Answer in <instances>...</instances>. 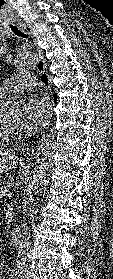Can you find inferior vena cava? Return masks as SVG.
I'll return each mask as SVG.
<instances>
[{"instance_id": "inferior-vena-cava-1", "label": "inferior vena cava", "mask_w": 113, "mask_h": 279, "mask_svg": "<svg viewBox=\"0 0 113 279\" xmlns=\"http://www.w3.org/2000/svg\"><path fill=\"white\" fill-rule=\"evenodd\" d=\"M30 231L25 222L22 225V236L18 246V252L15 260V267L21 275L30 273V264H29V250H30Z\"/></svg>"}]
</instances>
